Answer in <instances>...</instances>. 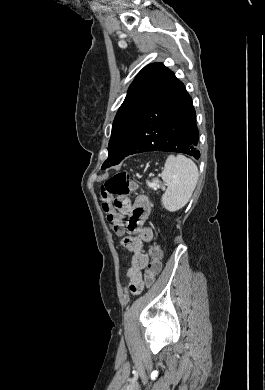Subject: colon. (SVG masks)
<instances>
[{"mask_svg":"<svg viewBox=\"0 0 265 390\" xmlns=\"http://www.w3.org/2000/svg\"><path fill=\"white\" fill-rule=\"evenodd\" d=\"M136 187V184L126 171L117 172L101 185L99 196L102 201V209L107 214V220L112 230L118 235L123 234L125 225L123 216L115 209V205L111 199L113 196L129 195ZM149 254L151 256V262L144 275V284L147 287L152 286L161 269L160 249L155 245L151 246Z\"/></svg>","mask_w":265,"mask_h":390,"instance_id":"obj_1","label":"colon"}]
</instances>
